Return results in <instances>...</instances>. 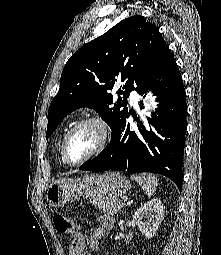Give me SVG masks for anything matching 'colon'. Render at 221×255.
Returning <instances> with one entry per match:
<instances>
[{
	"label": "colon",
	"mask_w": 221,
	"mask_h": 255,
	"mask_svg": "<svg viewBox=\"0 0 221 255\" xmlns=\"http://www.w3.org/2000/svg\"><path fill=\"white\" fill-rule=\"evenodd\" d=\"M53 224L57 231L62 233H69L71 235L77 234L80 231L78 224L70 221L64 215L60 213H54Z\"/></svg>",
	"instance_id": "colon-1"
}]
</instances>
